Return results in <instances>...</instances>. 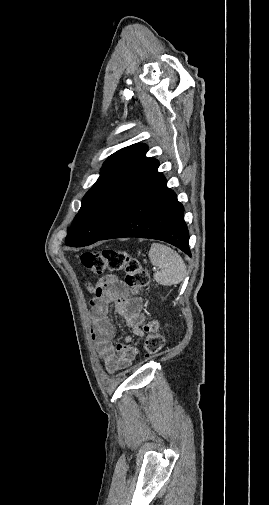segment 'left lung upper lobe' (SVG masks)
I'll return each mask as SVG.
<instances>
[{
  "label": "left lung upper lobe",
  "mask_w": 269,
  "mask_h": 505,
  "mask_svg": "<svg viewBox=\"0 0 269 505\" xmlns=\"http://www.w3.org/2000/svg\"><path fill=\"white\" fill-rule=\"evenodd\" d=\"M147 146L133 144L112 154L100 177L82 199L65 239L67 246L83 247L104 236L130 200L151 158Z\"/></svg>",
  "instance_id": "left-lung-upper-lobe-1"
}]
</instances>
